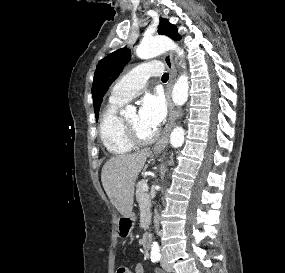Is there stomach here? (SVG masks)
<instances>
[{
    "mask_svg": "<svg viewBox=\"0 0 285 273\" xmlns=\"http://www.w3.org/2000/svg\"><path fill=\"white\" fill-rule=\"evenodd\" d=\"M134 221H135L134 215H132L131 217H124L121 220L118 228V231L121 236L125 237L131 233L134 227Z\"/></svg>",
    "mask_w": 285,
    "mask_h": 273,
    "instance_id": "0dacf381",
    "label": "stomach"
}]
</instances>
